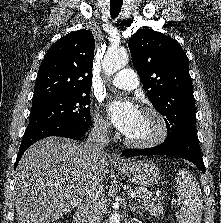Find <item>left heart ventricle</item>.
Here are the masks:
<instances>
[{"instance_id": "left-heart-ventricle-1", "label": "left heart ventricle", "mask_w": 221, "mask_h": 223, "mask_svg": "<svg viewBox=\"0 0 221 223\" xmlns=\"http://www.w3.org/2000/svg\"><path fill=\"white\" fill-rule=\"evenodd\" d=\"M157 131L156 119L152 115L140 113L135 126L126 136L132 140H145L154 136Z\"/></svg>"}]
</instances>
